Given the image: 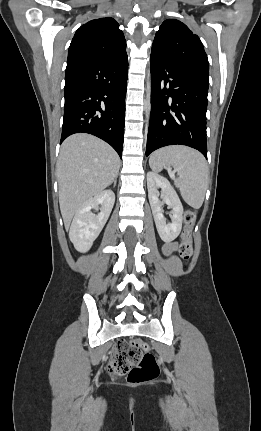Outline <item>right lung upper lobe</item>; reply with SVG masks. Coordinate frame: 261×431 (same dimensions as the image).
Wrapping results in <instances>:
<instances>
[{
	"label": "right lung upper lobe",
	"mask_w": 261,
	"mask_h": 431,
	"mask_svg": "<svg viewBox=\"0 0 261 431\" xmlns=\"http://www.w3.org/2000/svg\"><path fill=\"white\" fill-rule=\"evenodd\" d=\"M126 55V42L119 24L111 17L99 18L76 31L68 50L67 64L91 59H119Z\"/></svg>",
	"instance_id": "cb5924a9"
}]
</instances>
